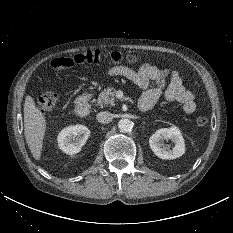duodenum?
<instances>
[{
	"label": "duodenum",
	"instance_id": "duodenum-1",
	"mask_svg": "<svg viewBox=\"0 0 233 233\" xmlns=\"http://www.w3.org/2000/svg\"><path fill=\"white\" fill-rule=\"evenodd\" d=\"M92 95L90 92L80 94L74 105V112L76 115L84 117L89 114L91 108Z\"/></svg>",
	"mask_w": 233,
	"mask_h": 233
}]
</instances>
